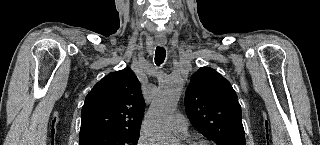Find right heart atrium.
<instances>
[{"label": "right heart atrium", "mask_w": 320, "mask_h": 145, "mask_svg": "<svg viewBox=\"0 0 320 145\" xmlns=\"http://www.w3.org/2000/svg\"><path fill=\"white\" fill-rule=\"evenodd\" d=\"M137 145H150V142L143 134H141L137 140Z\"/></svg>", "instance_id": "obj_1"}]
</instances>
